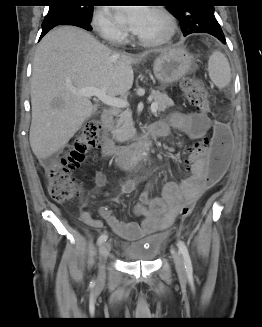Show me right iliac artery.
<instances>
[{
  "instance_id": "1",
  "label": "right iliac artery",
  "mask_w": 262,
  "mask_h": 327,
  "mask_svg": "<svg viewBox=\"0 0 262 327\" xmlns=\"http://www.w3.org/2000/svg\"><path fill=\"white\" fill-rule=\"evenodd\" d=\"M108 236L106 234H102L99 238H98V245H101L102 243H104L107 240ZM91 285H94V281L91 282Z\"/></svg>"
}]
</instances>
